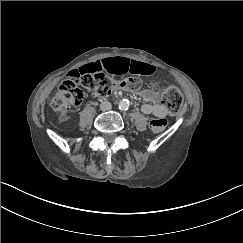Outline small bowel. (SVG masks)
I'll list each match as a JSON object with an SVG mask.
<instances>
[{"instance_id": "small-bowel-1", "label": "small bowel", "mask_w": 243, "mask_h": 243, "mask_svg": "<svg viewBox=\"0 0 243 243\" xmlns=\"http://www.w3.org/2000/svg\"><path fill=\"white\" fill-rule=\"evenodd\" d=\"M79 72H102L106 71L110 74H125L133 73L138 75H150L153 74L156 68L148 63L131 60L125 57L108 58L101 61H94L83 65L79 69ZM144 99L149 103L143 104L141 110L145 114L153 115L156 118H164L167 115L165 107L158 103V94L146 90L142 92Z\"/></svg>"}]
</instances>
